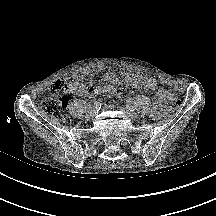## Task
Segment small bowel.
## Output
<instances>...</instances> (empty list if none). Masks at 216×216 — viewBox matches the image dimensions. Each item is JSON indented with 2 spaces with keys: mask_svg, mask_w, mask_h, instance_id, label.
Segmentation results:
<instances>
[{
  "mask_svg": "<svg viewBox=\"0 0 216 216\" xmlns=\"http://www.w3.org/2000/svg\"><path fill=\"white\" fill-rule=\"evenodd\" d=\"M104 78L113 84L120 85L126 83L155 91L156 101L152 109V115L158 118L163 114L165 103L168 100V92L164 90H157V82L153 77L141 73H133L129 69H123L120 74L107 71L104 74ZM73 91L75 94L85 97H93L102 93H110L116 97L121 96L120 91L116 87L106 83H99L96 85H85L80 83L74 87Z\"/></svg>",
  "mask_w": 216,
  "mask_h": 216,
  "instance_id": "obj_1",
  "label": "small bowel"
}]
</instances>
